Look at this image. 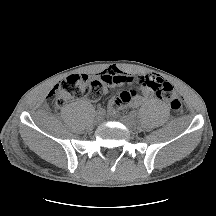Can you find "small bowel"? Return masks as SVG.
Segmentation results:
<instances>
[{
	"label": "small bowel",
	"mask_w": 216,
	"mask_h": 216,
	"mask_svg": "<svg viewBox=\"0 0 216 216\" xmlns=\"http://www.w3.org/2000/svg\"><path fill=\"white\" fill-rule=\"evenodd\" d=\"M154 75L132 76L118 68L111 67L98 74V78L104 85V94H108L117 85L129 84L136 90V95L130 102L131 107L142 105L151 95V90L142 85L141 81Z\"/></svg>",
	"instance_id": "c3829d8e"
}]
</instances>
